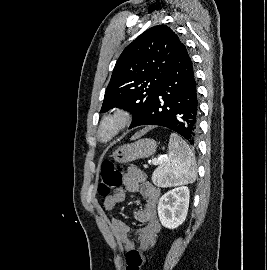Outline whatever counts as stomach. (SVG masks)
<instances>
[{
	"mask_svg": "<svg viewBox=\"0 0 267 270\" xmlns=\"http://www.w3.org/2000/svg\"><path fill=\"white\" fill-rule=\"evenodd\" d=\"M157 143L150 138L140 139L131 144L119 147L113 153L117 162L126 163L136 159L147 158L156 152Z\"/></svg>",
	"mask_w": 267,
	"mask_h": 270,
	"instance_id": "obj_1",
	"label": "stomach"
}]
</instances>
